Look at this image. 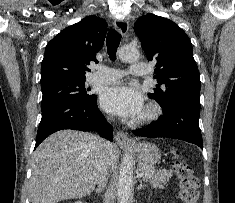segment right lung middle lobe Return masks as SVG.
<instances>
[{
	"label": "right lung middle lobe",
	"mask_w": 235,
	"mask_h": 203,
	"mask_svg": "<svg viewBox=\"0 0 235 203\" xmlns=\"http://www.w3.org/2000/svg\"><path fill=\"white\" fill-rule=\"evenodd\" d=\"M85 80L58 81L42 86V108L67 99L88 100L93 95L87 94Z\"/></svg>",
	"instance_id": "1"
}]
</instances>
